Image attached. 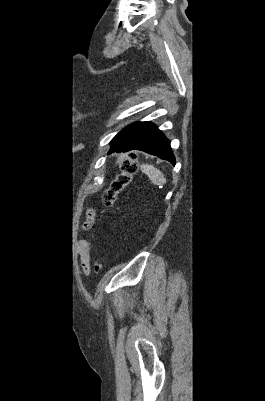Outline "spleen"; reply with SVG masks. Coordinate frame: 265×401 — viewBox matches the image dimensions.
I'll return each mask as SVG.
<instances>
[{
    "label": "spleen",
    "instance_id": "obj_1",
    "mask_svg": "<svg viewBox=\"0 0 265 401\" xmlns=\"http://www.w3.org/2000/svg\"><path fill=\"white\" fill-rule=\"evenodd\" d=\"M140 168L145 174H148L150 180H152L154 184H165V174H163L159 168H155L153 164H141Z\"/></svg>",
    "mask_w": 265,
    "mask_h": 401
}]
</instances>
